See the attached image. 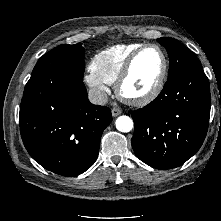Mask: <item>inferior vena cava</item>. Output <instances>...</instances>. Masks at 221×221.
<instances>
[{
  "label": "inferior vena cava",
  "mask_w": 221,
  "mask_h": 221,
  "mask_svg": "<svg viewBox=\"0 0 221 221\" xmlns=\"http://www.w3.org/2000/svg\"><path fill=\"white\" fill-rule=\"evenodd\" d=\"M89 101L95 105H105L108 101L106 92L100 89H90L88 92Z\"/></svg>",
  "instance_id": "obj_1"
}]
</instances>
